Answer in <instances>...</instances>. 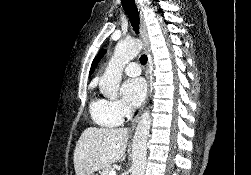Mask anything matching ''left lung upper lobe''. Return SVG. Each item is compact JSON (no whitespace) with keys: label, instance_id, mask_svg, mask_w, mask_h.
I'll return each instance as SVG.
<instances>
[{"label":"left lung upper lobe","instance_id":"1","mask_svg":"<svg viewBox=\"0 0 251 175\" xmlns=\"http://www.w3.org/2000/svg\"><path fill=\"white\" fill-rule=\"evenodd\" d=\"M103 54H104V51L102 50L99 52L98 56L94 59V61L92 63L91 70H90V74L93 73L95 67L97 66V64H98L99 60L101 59V57L103 56Z\"/></svg>","mask_w":251,"mask_h":175}]
</instances>
